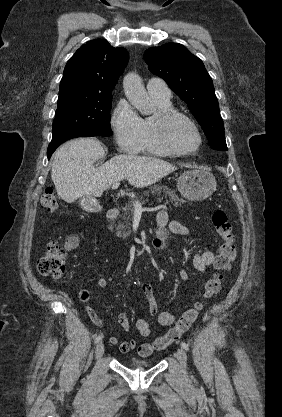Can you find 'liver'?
Wrapping results in <instances>:
<instances>
[{"instance_id": "6515ba94", "label": "liver", "mask_w": 282, "mask_h": 417, "mask_svg": "<svg viewBox=\"0 0 282 417\" xmlns=\"http://www.w3.org/2000/svg\"><path fill=\"white\" fill-rule=\"evenodd\" d=\"M105 150L96 138H74L55 152L51 178L63 200L75 202L80 196H101L114 182L127 178L136 188L154 184L177 170L171 162L157 156L117 154L101 166L94 162Z\"/></svg>"}]
</instances>
